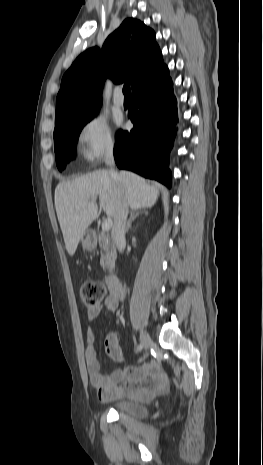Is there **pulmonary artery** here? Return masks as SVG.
Segmentation results:
<instances>
[{
  "label": "pulmonary artery",
  "mask_w": 263,
  "mask_h": 465,
  "mask_svg": "<svg viewBox=\"0 0 263 465\" xmlns=\"http://www.w3.org/2000/svg\"><path fill=\"white\" fill-rule=\"evenodd\" d=\"M113 103L114 105L118 106V107H121L123 106L124 104V98L123 96L121 95V90L120 89H117L114 93V96H113Z\"/></svg>",
  "instance_id": "pulmonary-artery-1"
}]
</instances>
